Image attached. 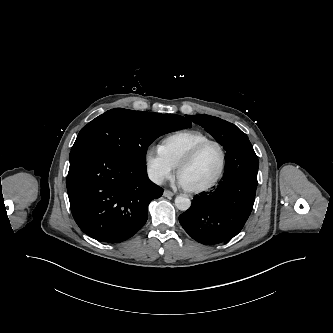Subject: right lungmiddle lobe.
Returning a JSON list of instances; mask_svg holds the SVG:
<instances>
[{"mask_svg": "<svg viewBox=\"0 0 333 333\" xmlns=\"http://www.w3.org/2000/svg\"><path fill=\"white\" fill-rule=\"evenodd\" d=\"M179 115H153L123 108L111 109L88 123L73 145L94 144L118 154L130 163L146 167V152L159 136L191 127Z\"/></svg>", "mask_w": 333, "mask_h": 333, "instance_id": "1", "label": "right lung middle lobe"}]
</instances>
